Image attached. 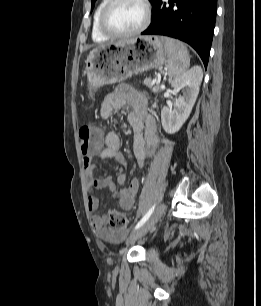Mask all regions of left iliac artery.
Instances as JSON below:
<instances>
[{
    "instance_id": "left-iliac-artery-1",
    "label": "left iliac artery",
    "mask_w": 261,
    "mask_h": 306,
    "mask_svg": "<svg viewBox=\"0 0 261 306\" xmlns=\"http://www.w3.org/2000/svg\"><path fill=\"white\" fill-rule=\"evenodd\" d=\"M156 203L147 211V213L143 216V218L137 223L135 226V229H138L141 227L152 215L154 209H155Z\"/></svg>"
}]
</instances>
